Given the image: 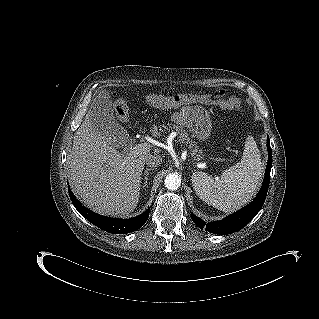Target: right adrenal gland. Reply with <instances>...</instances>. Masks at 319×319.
I'll list each match as a JSON object with an SVG mask.
<instances>
[{"label": "right adrenal gland", "mask_w": 319, "mask_h": 319, "mask_svg": "<svg viewBox=\"0 0 319 319\" xmlns=\"http://www.w3.org/2000/svg\"><path fill=\"white\" fill-rule=\"evenodd\" d=\"M153 170V169H146L144 172V185L143 188L147 186V180H148V176H149V172Z\"/></svg>", "instance_id": "obj_1"}]
</instances>
